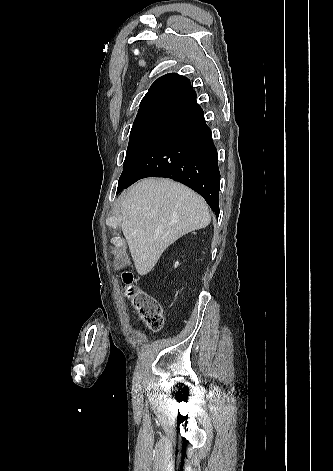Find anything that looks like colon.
<instances>
[{
	"label": "colon",
	"mask_w": 333,
	"mask_h": 471,
	"mask_svg": "<svg viewBox=\"0 0 333 471\" xmlns=\"http://www.w3.org/2000/svg\"><path fill=\"white\" fill-rule=\"evenodd\" d=\"M123 280L130 284L132 277L129 273H125ZM128 296L146 326L154 332L159 331L164 322L161 304L155 298L133 287L128 289Z\"/></svg>",
	"instance_id": "1"
}]
</instances>
